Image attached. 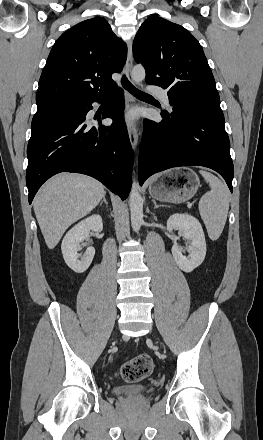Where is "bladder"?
Segmentation results:
<instances>
[{"label":"bladder","mask_w":263,"mask_h":440,"mask_svg":"<svg viewBox=\"0 0 263 440\" xmlns=\"http://www.w3.org/2000/svg\"><path fill=\"white\" fill-rule=\"evenodd\" d=\"M111 394L114 397H130V396H145L149 394V391L142 386L124 385L117 386L111 389Z\"/></svg>","instance_id":"1"}]
</instances>
